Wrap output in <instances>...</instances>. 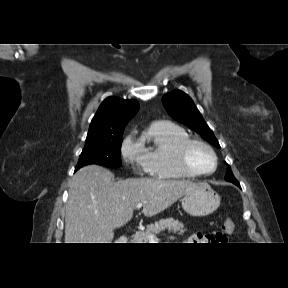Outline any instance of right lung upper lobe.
Returning <instances> with one entry per match:
<instances>
[{"mask_svg": "<svg viewBox=\"0 0 288 288\" xmlns=\"http://www.w3.org/2000/svg\"><path fill=\"white\" fill-rule=\"evenodd\" d=\"M136 100L108 97L100 105L93 117L86 141L124 131L128 121L137 113Z\"/></svg>", "mask_w": 288, "mask_h": 288, "instance_id": "obj_1", "label": "right lung upper lobe"}]
</instances>
